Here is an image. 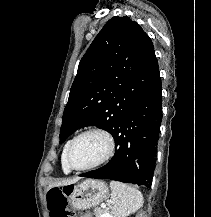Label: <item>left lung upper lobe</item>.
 Listing matches in <instances>:
<instances>
[{"label":"left lung upper lobe","instance_id":"obj_1","mask_svg":"<svg viewBox=\"0 0 211 217\" xmlns=\"http://www.w3.org/2000/svg\"><path fill=\"white\" fill-rule=\"evenodd\" d=\"M159 76L153 43L140 25L127 16L111 18L79 63L63 113L60 143L85 126L112 134Z\"/></svg>","mask_w":211,"mask_h":217}]
</instances>
